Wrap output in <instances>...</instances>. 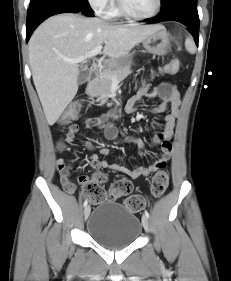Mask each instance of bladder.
Instances as JSON below:
<instances>
[{
    "label": "bladder",
    "instance_id": "1",
    "mask_svg": "<svg viewBox=\"0 0 231 281\" xmlns=\"http://www.w3.org/2000/svg\"><path fill=\"white\" fill-rule=\"evenodd\" d=\"M89 236L104 248L116 250L131 245L141 234L140 219L123 205L100 203L88 217Z\"/></svg>",
    "mask_w": 231,
    "mask_h": 281
}]
</instances>
